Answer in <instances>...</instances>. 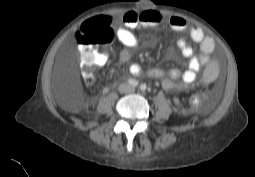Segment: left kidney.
<instances>
[{
    "mask_svg": "<svg viewBox=\"0 0 255 177\" xmlns=\"http://www.w3.org/2000/svg\"><path fill=\"white\" fill-rule=\"evenodd\" d=\"M174 103L179 104V100L177 98H174Z\"/></svg>",
    "mask_w": 255,
    "mask_h": 177,
    "instance_id": "1",
    "label": "left kidney"
}]
</instances>
